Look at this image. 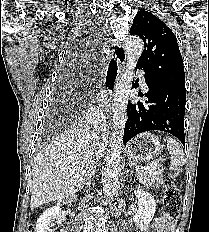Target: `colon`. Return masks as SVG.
I'll return each mask as SVG.
<instances>
[{"mask_svg":"<svg viewBox=\"0 0 209 232\" xmlns=\"http://www.w3.org/2000/svg\"><path fill=\"white\" fill-rule=\"evenodd\" d=\"M181 207V196L178 188L170 181L165 184L163 191V216L166 221H174L178 218ZM27 232H35L30 227Z\"/></svg>","mask_w":209,"mask_h":232,"instance_id":"colon-1","label":"colon"}]
</instances>
